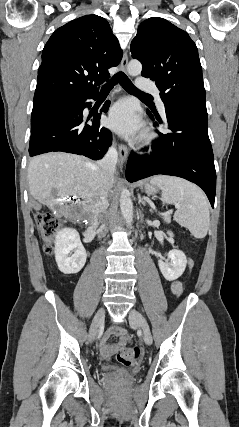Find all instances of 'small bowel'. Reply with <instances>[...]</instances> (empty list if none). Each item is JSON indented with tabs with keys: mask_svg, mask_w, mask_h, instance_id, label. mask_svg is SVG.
Returning a JSON list of instances; mask_svg holds the SVG:
<instances>
[{
	"mask_svg": "<svg viewBox=\"0 0 239 427\" xmlns=\"http://www.w3.org/2000/svg\"><path fill=\"white\" fill-rule=\"evenodd\" d=\"M171 292L174 295H180L182 292V283L180 281H174L171 283L170 286ZM111 336H118L119 339L115 344H108V339ZM128 341L127 333L124 329L120 327H112L108 329L102 340L100 341L99 349L102 357L104 359H110L111 356L119 350L121 347H123Z\"/></svg>",
	"mask_w": 239,
	"mask_h": 427,
	"instance_id": "small-bowel-1",
	"label": "small bowel"
}]
</instances>
